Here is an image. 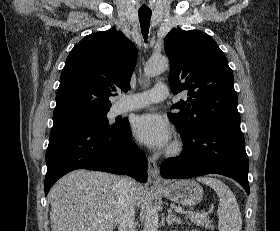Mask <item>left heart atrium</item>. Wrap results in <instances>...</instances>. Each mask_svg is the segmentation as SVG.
Returning <instances> with one entry per match:
<instances>
[{
  "instance_id": "left-heart-atrium-1",
  "label": "left heart atrium",
  "mask_w": 280,
  "mask_h": 231,
  "mask_svg": "<svg viewBox=\"0 0 280 231\" xmlns=\"http://www.w3.org/2000/svg\"><path fill=\"white\" fill-rule=\"evenodd\" d=\"M132 132L137 140L158 150L168 148L172 141L170 126L155 114L137 116L133 121Z\"/></svg>"
}]
</instances>
